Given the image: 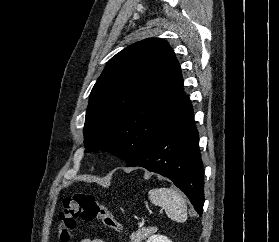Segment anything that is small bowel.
<instances>
[{"label": "small bowel", "instance_id": "1", "mask_svg": "<svg viewBox=\"0 0 279 242\" xmlns=\"http://www.w3.org/2000/svg\"><path fill=\"white\" fill-rule=\"evenodd\" d=\"M80 242H105L102 239H83Z\"/></svg>", "mask_w": 279, "mask_h": 242}]
</instances>
